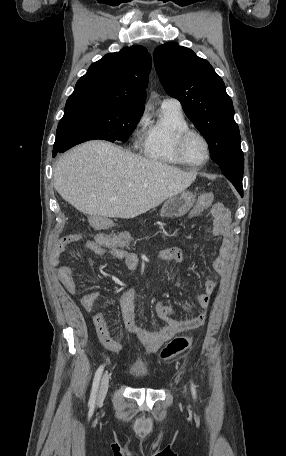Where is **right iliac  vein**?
<instances>
[{"instance_id": "63e3f726", "label": "right iliac vein", "mask_w": 286, "mask_h": 456, "mask_svg": "<svg viewBox=\"0 0 286 456\" xmlns=\"http://www.w3.org/2000/svg\"><path fill=\"white\" fill-rule=\"evenodd\" d=\"M109 378L110 377H109L108 373H105L102 377L99 394H98V402H101L106 396V393H107L108 387H109Z\"/></svg>"}]
</instances>
